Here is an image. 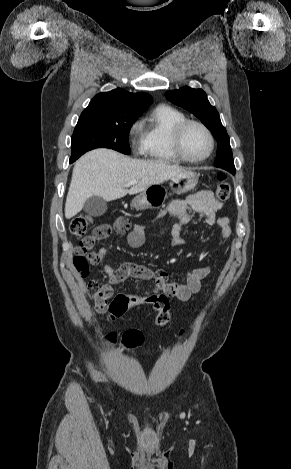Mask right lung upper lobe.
<instances>
[{"label": "right lung upper lobe", "mask_w": 291, "mask_h": 469, "mask_svg": "<svg viewBox=\"0 0 291 469\" xmlns=\"http://www.w3.org/2000/svg\"><path fill=\"white\" fill-rule=\"evenodd\" d=\"M151 103L152 97L147 93H130L117 88L95 95L81 116L137 118Z\"/></svg>", "instance_id": "right-lung-upper-lobe-1"}]
</instances>
